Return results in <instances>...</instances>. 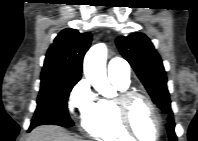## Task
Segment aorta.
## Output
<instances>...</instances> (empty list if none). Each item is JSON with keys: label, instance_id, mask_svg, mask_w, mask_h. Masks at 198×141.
Returning a JSON list of instances; mask_svg holds the SVG:
<instances>
[{"label": "aorta", "instance_id": "aorta-1", "mask_svg": "<svg viewBox=\"0 0 198 141\" xmlns=\"http://www.w3.org/2000/svg\"><path fill=\"white\" fill-rule=\"evenodd\" d=\"M107 46L98 43L92 46L84 58L83 70L86 79L102 96L111 98L115 95L106 73Z\"/></svg>", "mask_w": 198, "mask_h": 141}]
</instances>
